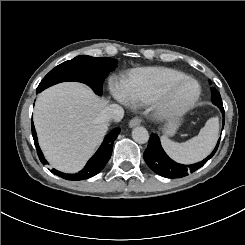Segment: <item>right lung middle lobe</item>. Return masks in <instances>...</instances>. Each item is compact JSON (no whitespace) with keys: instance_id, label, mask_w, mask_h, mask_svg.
Wrapping results in <instances>:
<instances>
[{"instance_id":"dd1d6c3e","label":"right lung middle lobe","mask_w":245,"mask_h":245,"mask_svg":"<svg viewBox=\"0 0 245 245\" xmlns=\"http://www.w3.org/2000/svg\"><path fill=\"white\" fill-rule=\"evenodd\" d=\"M117 61L109 57L77 56L51 70L41 81L37 93L63 81H78L89 85L98 95L107 74L114 70Z\"/></svg>"}]
</instances>
